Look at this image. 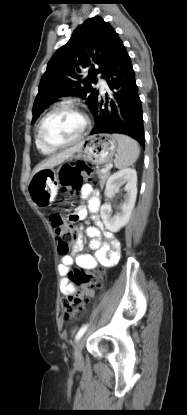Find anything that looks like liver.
I'll list each match as a JSON object with an SVG mask.
<instances>
[{"mask_svg": "<svg viewBox=\"0 0 187 415\" xmlns=\"http://www.w3.org/2000/svg\"><path fill=\"white\" fill-rule=\"evenodd\" d=\"M81 148V143L65 149L64 151L53 155L51 157H49L44 163L38 165L35 169H34V173L42 170V169H46V168H53L54 166L62 163L64 160L68 159L69 157H71L75 152H78Z\"/></svg>", "mask_w": 187, "mask_h": 415, "instance_id": "6515ba94", "label": "liver"}]
</instances>
